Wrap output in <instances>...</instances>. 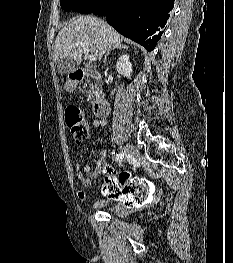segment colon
Wrapping results in <instances>:
<instances>
[{
	"mask_svg": "<svg viewBox=\"0 0 233 263\" xmlns=\"http://www.w3.org/2000/svg\"><path fill=\"white\" fill-rule=\"evenodd\" d=\"M65 121L73 141L83 142L89 134V127L81 110L76 106H68L65 111ZM137 174L136 169H120L119 175L115 171H102L105 176L103 186L107 199L111 202H123L124 208H145L148 202H153L155 182H148L147 178L130 176Z\"/></svg>",
	"mask_w": 233,
	"mask_h": 263,
	"instance_id": "5ec220e1",
	"label": "colon"
}]
</instances>
